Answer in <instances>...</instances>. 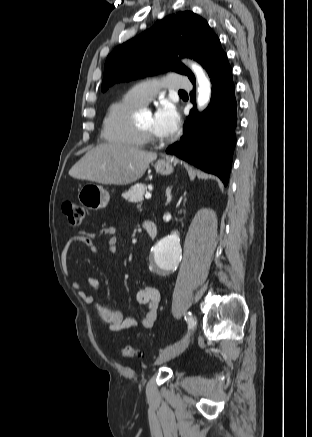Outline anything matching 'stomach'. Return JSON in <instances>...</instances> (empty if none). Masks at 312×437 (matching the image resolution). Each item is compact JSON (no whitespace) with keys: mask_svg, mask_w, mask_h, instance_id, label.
Listing matches in <instances>:
<instances>
[{"mask_svg":"<svg viewBox=\"0 0 312 437\" xmlns=\"http://www.w3.org/2000/svg\"><path fill=\"white\" fill-rule=\"evenodd\" d=\"M154 168L160 175H170L174 171L172 161L169 157L159 159ZM79 202L87 209L97 211L104 209L110 200V195L102 186L95 183H87L81 187L78 193Z\"/></svg>","mask_w":312,"mask_h":437,"instance_id":"stomach-1","label":"stomach"}]
</instances>
